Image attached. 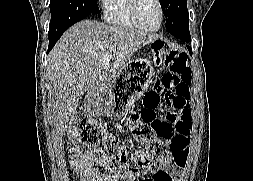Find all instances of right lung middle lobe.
<instances>
[{"label": "right lung middle lobe", "mask_w": 253, "mask_h": 181, "mask_svg": "<svg viewBox=\"0 0 253 181\" xmlns=\"http://www.w3.org/2000/svg\"><path fill=\"white\" fill-rule=\"evenodd\" d=\"M49 36L67 30L91 14H98L97 0H51Z\"/></svg>", "instance_id": "1"}]
</instances>
